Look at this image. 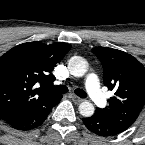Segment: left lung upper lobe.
I'll list each match as a JSON object with an SVG mask.
<instances>
[{
	"label": "left lung upper lobe",
	"mask_w": 145,
	"mask_h": 145,
	"mask_svg": "<svg viewBox=\"0 0 145 145\" xmlns=\"http://www.w3.org/2000/svg\"><path fill=\"white\" fill-rule=\"evenodd\" d=\"M93 53L102 63L105 86L115 92L108 100L109 107L97 110L125 131L145 104V68L136 58L117 49L96 47Z\"/></svg>",
	"instance_id": "left-lung-upper-lobe-1"
}]
</instances>
